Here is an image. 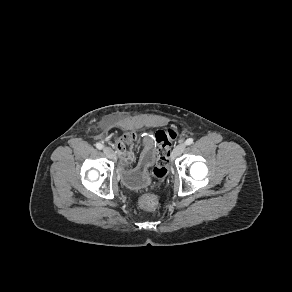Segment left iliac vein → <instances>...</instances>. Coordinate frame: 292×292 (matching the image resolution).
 <instances>
[{"label": "left iliac vein", "mask_w": 292, "mask_h": 292, "mask_svg": "<svg viewBox=\"0 0 292 292\" xmlns=\"http://www.w3.org/2000/svg\"><path fill=\"white\" fill-rule=\"evenodd\" d=\"M185 147H186L185 143L183 142L179 143L173 150L172 159L174 160L175 158L180 156L182 152L184 151Z\"/></svg>", "instance_id": "left-iliac-vein-1"}]
</instances>
